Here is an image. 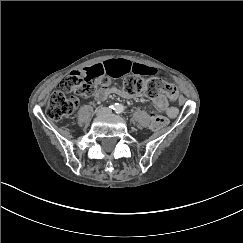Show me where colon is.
Returning a JSON list of instances; mask_svg holds the SVG:
<instances>
[{"instance_id":"1","label":"colon","mask_w":243,"mask_h":243,"mask_svg":"<svg viewBox=\"0 0 243 243\" xmlns=\"http://www.w3.org/2000/svg\"><path fill=\"white\" fill-rule=\"evenodd\" d=\"M110 82L102 74H90L73 71L70 75L64 77L59 86L63 90L74 91L79 95L91 96L100 89L110 87ZM121 91L127 96L146 95L150 98L166 96L175 98L177 88L171 83L162 79L151 77L141 78L130 76L123 81ZM78 105V101L73 96H66L62 91H55L49 98L46 108V115L50 120H60L72 115ZM169 120L162 115H153L151 127L154 130L164 128Z\"/></svg>"}]
</instances>
